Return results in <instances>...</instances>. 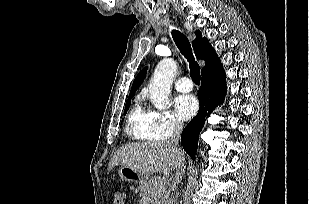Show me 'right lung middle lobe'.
Returning <instances> with one entry per match:
<instances>
[{
	"label": "right lung middle lobe",
	"mask_w": 309,
	"mask_h": 204,
	"mask_svg": "<svg viewBox=\"0 0 309 204\" xmlns=\"http://www.w3.org/2000/svg\"><path fill=\"white\" fill-rule=\"evenodd\" d=\"M130 99H131V98L128 99V102H127L126 105H125L124 114H126V113H127V110L129 109V106H130Z\"/></svg>",
	"instance_id": "dd1d6c3e"
}]
</instances>
